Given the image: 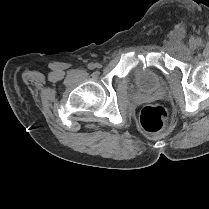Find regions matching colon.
<instances>
[{"label": "colon", "mask_w": 209, "mask_h": 209, "mask_svg": "<svg viewBox=\"0 0 209 209\" xmlns=\"http://www.w3.org/2000/svg\"><path fill=\"white\" fill-rule=\"evenodd\" d=\"M169 120L168 112L162 106H148L142 109L140 123L148 132H159L163 130Z\"/></svg>", "instance_id": "colon-1"}]
</instances>
